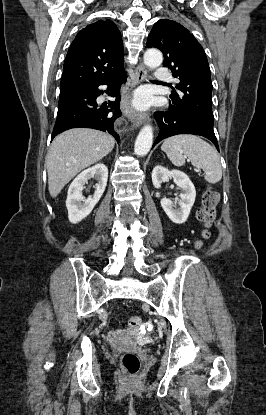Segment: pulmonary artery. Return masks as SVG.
Instances as JSON below:
<instances>
[{"label":"pulmonary artery","mask_w":266,"mask_h":415,"mask_svg":"<svg viewBox=\"0 0 266 415\" xmlns=\"http://www.w3.org/2000/svg\"><path fill=\"white\" fill-rule=\"evenodd\" d=\"M155 78L160 81H166L169 82L172 80V77L170 73L167 71V69L163 67H159L155 71Z\"/></svg>","instance_id":"1"}]
</instances>
